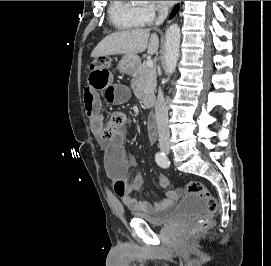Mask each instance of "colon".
<instances>
[{
    "label": "colon",
    "mask_w": 271,
    "mask_h": 266,
    "mask_svg": "<svg viewBox=\"0 0 271 266\" xmlns=\"http://www.w3.org/2000/svg\"><path fill=\"white\" fill-rule=\"evenodd\" d=\"M110 65L111 59L109 57H100L91 63L90 68H109ZM184 190L188 193L200 196L204 200L206 208L204 216L194 226L190 234L194 235L208 230L213 223V219L218 208L216 198L210 193L205 184L199 181H191L187 183Z\"/></svg>",
    "instance_id": "1"
}]
</instances>
